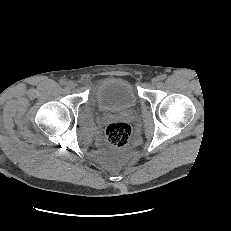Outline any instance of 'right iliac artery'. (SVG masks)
<instances>
[{
    "instance_id": "right-iliac-artery-1",
    "label": "right iliac artery",
    "mask_w": 231,
    "mask_h": 231,
    "mask_svg": "<svg viewBox=\"0 0 231 231\" xmlns=\"http://www.w3.org/2000/svg\"><path fill=\"white\" fill-rule=\"evenodd\" d=\"M60 84H61V85H66V80H65V79H61V80H60Z\"/></svg>"
}]
</instances>
